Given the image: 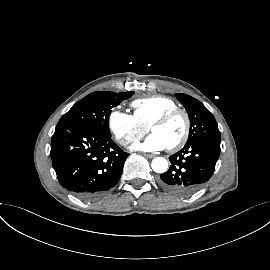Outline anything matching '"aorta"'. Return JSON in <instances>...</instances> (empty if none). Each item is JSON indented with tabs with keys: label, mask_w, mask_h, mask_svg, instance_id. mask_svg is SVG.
<instances>
[{
	"label": "aorta",
	"mask_w": 270,
	"mask_h": 270,
	"mask_svg": "<svg viewBox=\"0 0 270 270\" xmlns=\"http://www.w3.org/2000/svg\"><path fill=\"white\" fill-rule=\"evenodd\" d=\"M151 166L156 173H164L168 168V162L163 157H156L152 160Z\"/></svg>",
	"instance_id": "762f6f07"
}]
</instances>
